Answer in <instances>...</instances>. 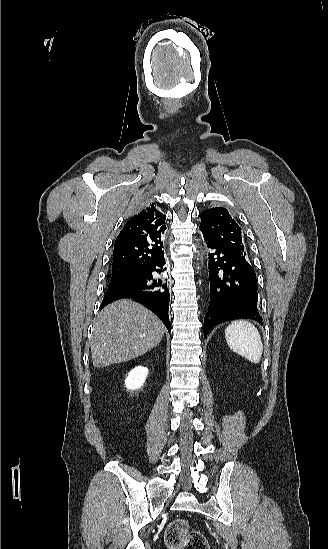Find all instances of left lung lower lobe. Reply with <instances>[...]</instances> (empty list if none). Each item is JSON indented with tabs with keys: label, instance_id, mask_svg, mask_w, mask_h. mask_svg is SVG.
Listing matches in <instances>:
<instances>
[{
	"label": "left lung lower lobe",
	"instance_id": "obj_1",
	"mask_svg": "<svg viewBox=\"0 0 328 549\" xmlns=\"http://www.w3.org/2000/svg\"><path fill=\"white\" fill-rule=\"evenodd\" d=\"M209 249L210 302L204 318V336L222 322L253 319L262 324L258 312L256 274L241 256L205 239Z\"/></svg>",
	"mask_w": 328,
	"mask_h": 549
}]
</instances>
